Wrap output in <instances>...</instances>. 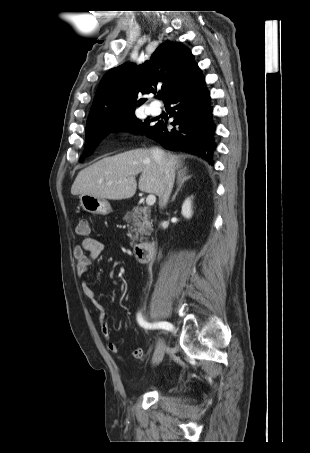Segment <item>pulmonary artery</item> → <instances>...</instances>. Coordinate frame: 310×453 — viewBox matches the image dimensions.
I'll list each match as a JSON object with an SVG mask.
<instances>
[{"label":"pulmonary artery","mask_w":310,"mask_h":453,"mask_svg":"<svg viewBox=\"0 0 310 453\" xmlns=\"http://www.w3.org/2000/svg\"><path fill=\"white\" fill-rule=\"evenodd\" d=\"M149 112L152 114V115H158L160 113V110L159 109H156V108H153V107H149L148 108Z\"/></svg>","instance_id":"pulmonary-artery-1"}]
</instances>
